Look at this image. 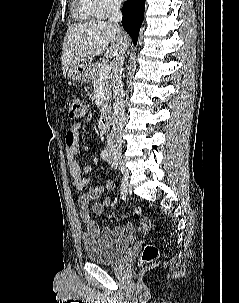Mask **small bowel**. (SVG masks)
I'll list each match as a JSON object with an SVG mask.
<instances>
[{
    "instance_id": "small-bowel-1",
    "label": "small bowel",
    "mask_w": 239,
    "mask_h": 303,
    "mask_svg": "<svg viewBox=\"0 0 239 303\" xmlns=\"http://www.w3.org/2000/svg\"><path fill=\"white\" fill-rule=\"evenodd\" d=\"M79 128L80 124H74L70 127L65 136L64 147L68 158V170L73 180L74 186L79 190H85L88 187L90 180L83 177L82 172L94 173L96 172V169L91 165H85L81 167L78 161V154L81 145ZM105 189H113V184L111 182H107L104 186L90 188L85 191L78 199L80 217L86 229L88 237L111 238L115 235L131 234L137 229H146L148 227V222L142 220L137 225L128 223L123 228H100L98 223L92 218L91 215H101L104 212L105 208L111 205L109 199H105L101 202H95L101 197Z\"/></svg>"
}]
</instances>
